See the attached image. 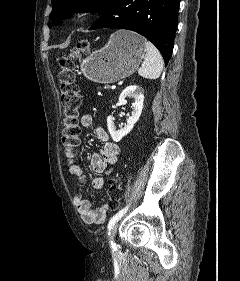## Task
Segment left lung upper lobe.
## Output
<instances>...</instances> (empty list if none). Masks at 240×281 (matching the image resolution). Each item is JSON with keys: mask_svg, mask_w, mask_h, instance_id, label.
Returning <instances> with one entry per match:
<instances>
[{"mask_svg": "<svg viewBox=\"0 0 240 281\" xmlns=\"http://www.w3.org/2000/svg\"><path fill=\"white\" fill-rule=\"evenodd\" d=\"M110 2L111 0H52L49 19L59 24L60 20L69 17L75 11L92 9L101 13Z\"/></svg>", "mask_w": 240, "mask_h": 281, "instance_id": "left-lung-upper-lobe-1", "label": "left lung upper lobe"}]
</instances>
